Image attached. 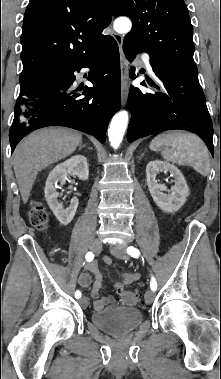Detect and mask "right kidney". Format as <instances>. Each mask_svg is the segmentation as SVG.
Instances as JSON below:
<instances>
[{"mask_svg":"<svg viewBox=\"0 0 221 379\" xmlns=\"http://www.w3.org/2000/svg\"><path fill=\"white\" fill-rule=\"evenodd\" d=\"M69 174L77 176L80 180L88 179L89 166L85 156L76 155L58 164L47 177L44 189L45 198L50 209L62 225H68L73 220L79 204L78 199L74 197L70 201V206L64 209L58 201L57 184H65Z\"/></svg>","mask_w":221,"mask_h":379,"instance_id":"1","label":"right kidney"}]
</instances>
